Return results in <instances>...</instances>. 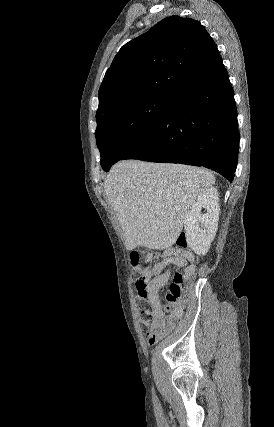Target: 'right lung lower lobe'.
Returning <instances> with one entry per match:
<instances>
[{
	"label": "right lung lower lobe",
	"instance_id": "obj_1",
	"mask_svg": "<svg viewBox=\"0 0 274 427\" xmlns=\"http://www.w3.org/2000/svg\"><path fill=\"white\" fill-rule=\"evenodd\" d=\"M238 149L234 92L224 68L177 95L158 124L121 160L204 166L232 182Z\"/></svg>",
	"mask_w": 274,
	"mask_h": 427
}]
</instances>
